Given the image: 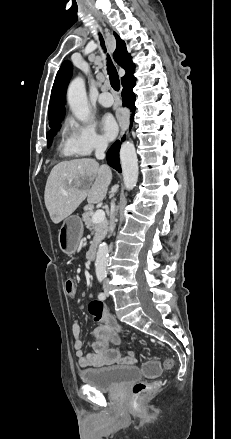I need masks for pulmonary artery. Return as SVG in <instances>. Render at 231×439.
<instances>
[{"mask_svg":"<svg viewBox=\"0 0 231 439\" xmlns=\"http://www.w3.org/2000/svg\"><path fill=\"white\" fill-rule=\"evenodd\" d=\"M98 102L103 107H110L113 105V97L109 92H102L98 97Z\"/></svg>","mask_w":231,"mask_h":439,"instance_id":"e3ab8cb5","label":"pulmonary artery"}]
</instances>
